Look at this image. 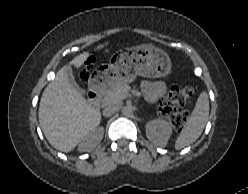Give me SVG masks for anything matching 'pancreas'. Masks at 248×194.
Segmentation results:
<instances>
[{"instance_id": "obj_1", "label": "pancreas", "mask_w": 248, "mask_h": 194, "mask_svg": "<svg viewBox=\"0 0 248 194\" xmlns=\"http://www.w3.org/2000/svg\"><path fill=\"white\" fill-rule=\"evenodd\" d=\"M131 90L130 86L127 84H118L108 90L102 102L104 105H118L122 103V100L125 98V95H128Z\"/></svg>"}]
</instances>
